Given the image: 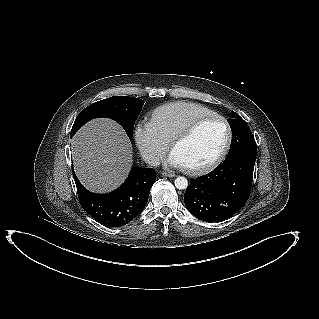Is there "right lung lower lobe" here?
Listing matches in <instances>:
<instances>
[{
    "label": "right lung lower lobe",
    "instance_id": "right-lung-lower-lobe-1",
    "mask_svg": "<svg viewBox=\"0 0 319 319\" xmlns=\"http://www.w3.org/2000/svg\"><path fill=\"white\" fill-rule=\"evenodd\" d=\"M72 174L84 210L108 227L123 226L133 220L145 208L156 179L154 169L133 167L118 189L108 194H95L81 185L73 168Z\"/></svg>",
    "mask_w": 319,
    "mask_h": 319
}]
</instances>
